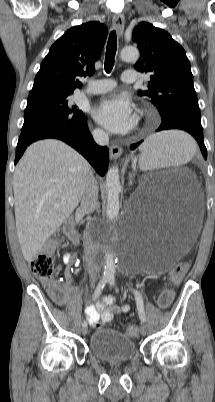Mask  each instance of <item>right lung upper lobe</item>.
I'll return each instance as SVG.
<instances>
[{"instance_id":"cb5924a9","label":"right lung upper lobe","mask_w":215,"mask_h":402,"mask_svg":"<svg viewBox=\"0 0 215 402\" xmlns=\"http://www.w3.org/2000/svg\"><path fill=\"white\" fill-rule=\"evenodd\" d=\"M106 37L107 28L98 21L67 30L42 61L29 96L71 95L76 88H81L78 78L95 72L94 63L102 52Z\"/></svg>"}]
</instances>
